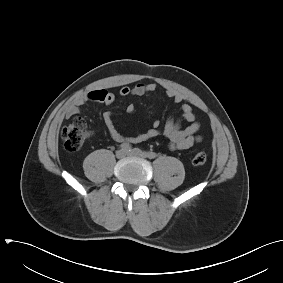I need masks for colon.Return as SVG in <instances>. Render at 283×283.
<instances>
[{
  "label": "colon",
  "mask_w": 283,
  "mask_h": 283,
  "mask_svg": "<svg viewBox=\"0 0 283 283\" xmlns=\"http://www.w3.org/2000/svg\"><path fill=\"white\" fill-rule=\"evenodd\" d=\"M88 135V126L82 118H74L61 132L64 147L68 151H77ZM207 161L204 152H197L193 157L194 165H203Z\"/></svg>",
  "instance_id": "obj_1"
}]
</instances>
